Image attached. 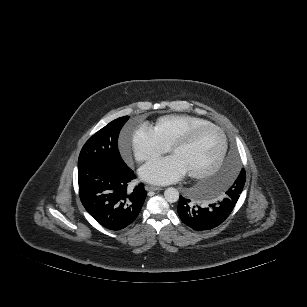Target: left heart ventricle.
I'll return each instance as SVG.
<instances>
[{
  "instance_id": "left-heart-ventricle-1",
  "label": "left heart ventricle",
  "mask_w": 307,
  "mask_h": 307,
  "mask_svg": "<svg viewBox=\"0 0 307 307\" xmlns=\"http://www.w3.org/2000/svg\"><path fill=\"white\" fill-rule=\"evenodd\" d=\"M222 147L220 134L212 128L199 132L191 143L175 149L172 156L187 173L205 171L213 167Z\"/></svg>"
}]
</instances>
